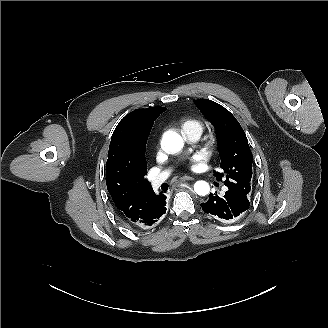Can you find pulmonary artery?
<instances>
[{
    "instance_id": "pulmonary-artery-1",
    "label": "pulmonary artery",
    "mask_w": 328,
    "mask_h": 328,
    "mask_svg": "<svg viewBox=\"0 0 328 328\" xmlns=\"http://www.w3.org/2000/svg\"><path fill=\"white\" fill-rule=\"evenodd\" d=\"M196 139V136H193L192 139H187L189 141H194ZM168 175V170H165L162 173L152 175L149 177V184L153 189H157L161 183L166 179Z\"/></svg>"
}]
</instances>
